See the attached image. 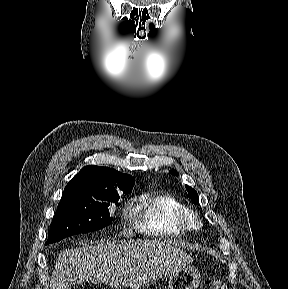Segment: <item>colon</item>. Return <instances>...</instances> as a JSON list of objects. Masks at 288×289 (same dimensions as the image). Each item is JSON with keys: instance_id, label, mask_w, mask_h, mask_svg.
<instances>
[{"instance_id": "5ec220e1", "label": "colon", "mask_w": 288, "mask_h": 289, "mask_svg": "<svg viewBox=\"0 0 288 289\" xmlns=\"http://www.w3.org/2000/svg\"><path fill=\"white\" fill-rule=\"evenodd\" d=\"M208 289H230V286L220 278H211L208 282Z\"/></svg>"}]
</instances>
